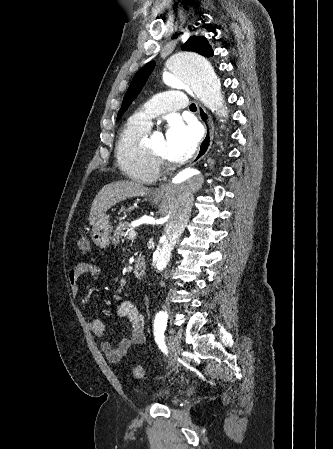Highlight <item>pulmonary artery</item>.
Wrapping results in <instances>:
<instances>
[{
  "instance_id": "obj_1",
  "label": "pulmonary artery",
  "mask_w": 333,
  "mask_h": 449,
  "mask_svg": "<svg viewBox=\"0 0 333 449\" xmlns=\"http://www.w3.org/2000/svg\"><path fill=\"white\" fill-rule=\"evenodd\" d=\"M188 106L186 94L180 90L161 92L149 100L137 113L136 118L147 126L163 111L184 109Z\"/></svg>"
}]
</instances>
